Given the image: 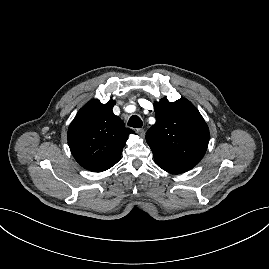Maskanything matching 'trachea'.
Instances as JSON below:
<instances>
[{
  "label": "trachea",
  "mask_w": 269,
  "mask_h": 269,
  "mask_svg": "<svg viewBox=\"0 0 269 269\" xmlns=\"http://www.w3.org/2000/svg\"><path fill=\"white\" fill-rule=\"evenodd\" d=\"M143 125V122L141 118L137 115H132L128 121V126L133 128H141Z\"/></svg>",
  "instance_id": "obj_1"
}]
</instances>
